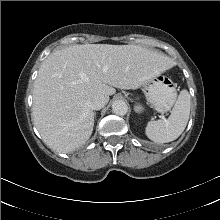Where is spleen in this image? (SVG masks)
Returning <instances> with one entry per match:
<instances>
[{
    "label": "spleen",
    "mask_w": 220,
    "mask_h": 220,
    "mask_svg": "<svg viewBox=\"0 0 220 220\" xmlns=\"http://www.w3.org/2000/svg\"><path fill=\"white\" fill-rule=\"evenodd\" d=\"M190 106V94L184 89L180 92L171 115L167 119L147 123L145 129L147 137L156 143H167L176 140L188 123Z\"/></svg>",
    "instance_id": "obj_1"
}]
</instances>
